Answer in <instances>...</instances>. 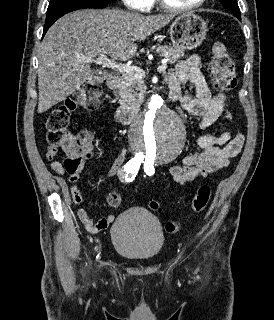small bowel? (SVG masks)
I'll list each match as a JSON object with an SVG mask.
<instances>
[{
    "label": "small bowel",
    "instance_id": "1",
    "mask_svg": "<svg viewBox=\"0 0 274 320\" xmlns=\"http://www.w3.org/2000/svg\"><path fill=\"white\" fill-rule=\"evenodd\" d=\"M170 93H177L181 106L191 115L200 118L199 126L207 129L219 118L231 120L230 113L224 111L225 104L229 101L228 94L212 95L207 85L206 79L200 69V59L197 55L189 57L187 60L178 63L166 76ZM191 83L195 90V95L184 94L181 90L182 83ZM200 151L186 154L179 165L169 168V174L177 186H184L198 178H204L210 173L228 165L244 145V136L241 133L232 135L229 131L221 132L218 135L204 134L195 139ZM46 156H43V163H51V168L58 176L64 174L62 163L55 161V154L58 153V146H49ZM98 152L90 148L85 154L86 158H94ZM125 150L119 154L106 172L107 177L117 175L124 162ZM79 178V176H78ZM72 200L80 205L84 199L77 185L70 188ZM77 217L86 227L93 222L89 213L84 208L77 210ZM114 221L112 214L102 217L97 224L104 229ZM87 229V228H86Z\"/></svg>",
    "mask_w": 274,
    "mask_h": 320
}]
</instances>
